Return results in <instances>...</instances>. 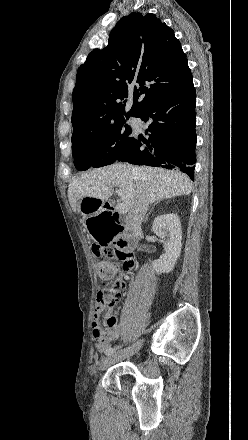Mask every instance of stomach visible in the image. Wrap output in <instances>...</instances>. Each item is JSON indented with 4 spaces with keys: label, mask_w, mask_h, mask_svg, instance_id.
I'll use <instances>...</instances> for the list:
<instances>
[{
    "label": "stomach",
    "mask_w": 248,
    "mask_h": 440,
    "mask_svg": "<svg viewBox=\"0 0 248 440\" xmlns=\"http://www.w3.org/2000/svg\"><path fill=\"white\" fill-rule=\"evenodd\" d=\"M84 202V204H82ZM103 201L85 197L79 202L80 218H87V235L90 246H109L114 241L116 229L110 209H103Z\"/></svg>",
    "instance_id": "stomach-1"
}]
</instances>
